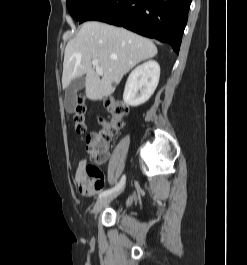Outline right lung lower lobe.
Wrapping results in <instances>:
<instances>
[{
    "mask_svg": "<svg viewBox=\"0 0 247 265\" xmlns=\"http://www.w3.org/2000/svg\"><path fill=\"white\" fill-rule=\"evenodd\" d=\"M192 0H99L79 20H98L169 43L178 53Z\"/></svg>",
    "mask_w": 247,
    "mask_h": 265,
    "instance_id": "obj_1",
    "label": "right lung lower lobe"
}]
</instances>
